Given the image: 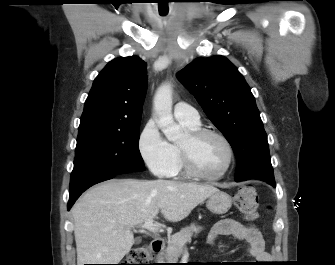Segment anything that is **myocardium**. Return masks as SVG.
<instances>
[{
  "mask_svg": "<svg viewBox=\"0 0 335 265\" xmlns=\"http://www.w3.org/2000/svg\"><path fill=\"white\" fill-rule=\"evenodd\" d=\"M187 136H188L189 144L183 145L179 143L178 145L183 168L185 172L193 178L204 180V181H216V180L223 178L228 173V171L230 170L234 162V149L229 139L225 135H223L222 133L216 130L206 129V128H199L196 130H191L189 131ZM208 136H213V137L218 138L225 145L226 150H227V155H228L227 162L224 168L219 173L214 174V175L204 174L200 170L197 169V167L195 166L193 162L191 150H190L191 144H194Z\"/></svg>",
  "mask_w": 335,
  "mask_h": 265,
  "instance_id": "1",
  "label": "myocardium"
}]
</instances>
